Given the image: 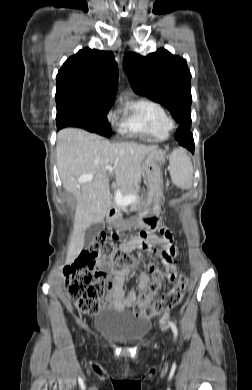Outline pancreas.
<instances>
[{"instance_id":"cf45deb5","label":"pancreas","mask_w":252,"mask_h":390,"mask_svg":"<svg viewBox=\"0 0 252 390\" xmlns=\"http://www.w3.org/2000/svg\"><path fill=\"white\" fill-rule=\"evenodd\" d=\"M116 206H119L117 202H115ZM132 209H134L135 211H138L139 210V207L141 205H143V202L141 201H136L135 203H131L130 204ZM131 207H128V210H131Z\"/></svg>"}]
</instances>
